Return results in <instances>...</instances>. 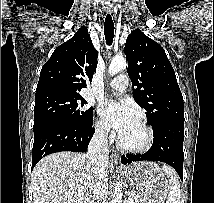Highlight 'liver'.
Here are the masks:
<instances>
[{
    "instance_id": "obj_1",
    "label": "liver",
    "mask_w": 214,
    "mask_h": 203,
    "mask_svg": "<svg viewBox=\"0 0 214 203\" xmlns=\"http://www.w3.org/2000/svg\"><path fill=\"white\" fill-rule=\"evenodd\" d=\"M89 175L85 154L57 152L42 158L32 172L34 203H89Z\"/></svg>"
}]
</instances>
